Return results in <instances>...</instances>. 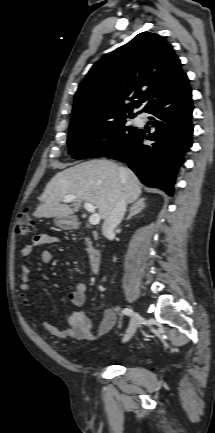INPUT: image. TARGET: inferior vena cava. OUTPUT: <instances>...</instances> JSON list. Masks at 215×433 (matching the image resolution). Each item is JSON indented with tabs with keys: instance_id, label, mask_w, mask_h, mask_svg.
<instances>
[{
	"instance_id": "1",
	"label": "inferior vena cava",
	"mask_w": 215,
	"mask_h": 433,
	"mask_svg": "<svg viewBox=\"0 0 215 433\" xmlns=\"http://www.w3.org/2000/svg\"><path fill=\"white\" fill-rule=\"evenodd\" d=\"M120 172L121 174H124V169L120 168ZM126 207L127 200L124 195H121L103 223L102 233L105 237H109L114 234L115 228L121 223L124 217Z\"/></svg>"
}]
</instances>
